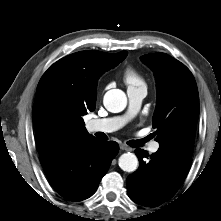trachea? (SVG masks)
Instances as JSON below:
<instances>
[{"label":"trachea","mask_w":221,"mask_h":221,"mask_svg":"<svg viewBox=\"0 0 221 221\" xmlns=\"http://www.w3.org/2000/svg\"><path fill=\"white\" fill-rule=\"evenodd\" d=\"M149 138L146 137L145 139L142 140H134V141H129L128 144L132 147H141Z\"/></svg>","instance_id":"obj_1"}]
</instances>
